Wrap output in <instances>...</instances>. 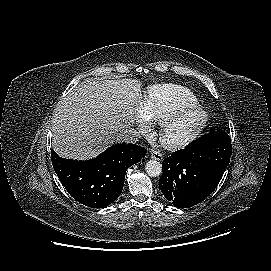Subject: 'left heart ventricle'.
<instances>
[{"mask_svg":"<svg viewBox=\"0 0 271 271\" xmlns=\"http://www.w3.org/2000/svg\"><path fill=\"white\" fill-rule=\"evenodd\" d=\"M198 119V115H190L178 120L169 130V136L171 138H180L185 136L190 132Z\"/></svg>","mask_w":271,"mask_h":271,"instance_id":"b2bd125f","label":"left heart ventricle"}]
</instances>
